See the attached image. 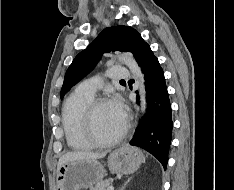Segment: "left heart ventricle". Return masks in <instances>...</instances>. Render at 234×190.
<instances>
[{
	"label": "left heart ventricle",
	"mask_w": 234,
	"mask_h": 190,
	"mask_svg": "<svg viewBox=\"0 0 234 190\" xmlns=\"http://www.w3.org/2000/svg\"><path fill=\"white\" fill-rule=\"evenodd\" d=\"M124 123L113 112L108 102L99 106L94 115V129L102 139L116 135L123 128Z\"/></svg>",
	"instance_id": "obj_1"
}]
</instances>
